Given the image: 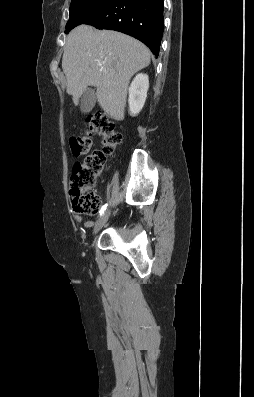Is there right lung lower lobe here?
<instances>
[{
	"label": "right lung lower lobe",
	"instance_id": "98d812e1",
	"mask_svg": "<svg viewBox=\"0 0 254 397\" xmlns=\"http://www.w3.org/2000/svg\"><path fill=\"white\" fill-rule=\"evenodd\" d=\"M163 8V0H110L83 24L128 34L157 57L164 29Z\"/></svg>",
	"mask_w": 254,
	"mask_h": 397
}]
</instances>
